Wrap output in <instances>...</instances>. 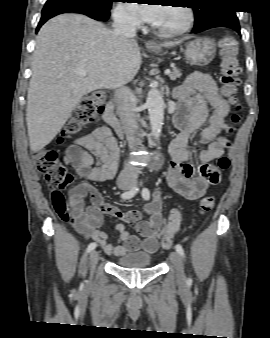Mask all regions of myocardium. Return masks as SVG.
<instances>
[{"label":"myocardium","instance_id":"myocardium-1","mask_svg":"<svg viewBox=\"0 0 270 338\" xmlns=\"http://www.w3.org/2000/svg\"><path fill=\"white\" fill-rule=\"evenodd\" d=\"M180 8H182L185 13V22L181 27L173 30H163L152 25V30L162 37H177L187 33L194 24L195 15L193 9L188 5H182Z\"/></svg>","mask_w":270,"mask_h":338}]
</instances>
